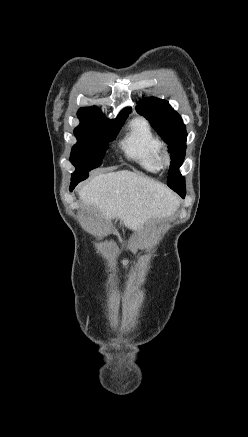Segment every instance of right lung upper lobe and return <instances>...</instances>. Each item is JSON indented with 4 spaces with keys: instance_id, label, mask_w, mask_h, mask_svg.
Instances as JSON below:
<instances>
[{
    "instance_id": "1",
    "label": "right lung upper lobe",
    "mask_w": 248,
    "mask_h": 437,
    "mask_svg": "<svg viewBox=\"0 0 248 437\" xmlns=\"http://www.w3.org/2000/svg\"><path fill=\"white\" fill-rule=\"evenodd\" d=\"M131 112V108H125L119 114V116L115 120L105 119L103 117V113L97 108H80L78 111V118L82 122L90 123V124H100L107 121H117Z\"/></svg>"
}]
</instances>
